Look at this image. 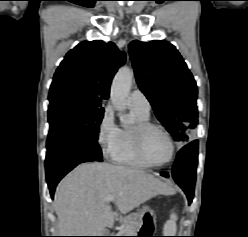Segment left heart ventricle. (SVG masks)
Returning <instances> with one entry per match:
<instances>
[{
    "label": "left heart ventricle",
    "mask_w": 248,
    "mask_h": 237,
    "mask_svg": "<svg viewBox=\"0 0 248 237\" xmlns=\"http://www.w3.org/2000/svg\"><path fill=\"white\" fill-rule=\"evenodd\" d=\"M144 151L152 162L162 163L169 158L170 143L160 131L152 129L144 136Z\"/></svg>",
    "instance_id": "left-heart-ventricle-1"
}]
</instances>
